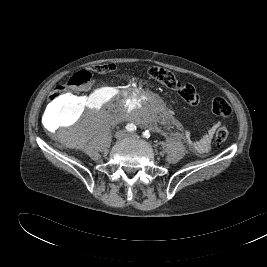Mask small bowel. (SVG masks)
<instances>
[{"label": "small bowel", "mask_w": 267, "mask_h": 267, "mask_svg": "<svg viewBox=\"0 0 267 267\" xmlns=\"http://www.w3.org/2000/svg\"><path fill=\"white\" fill-rule=\"evenodd\" d=\"M77 104L79 103L78 102L74 103L75 106ZM216 127L217 125L214 124L213 126L210 127L207 133L200 140L191 142L192 147L195 149V151H197L198 153L208 152L211 146L212 138H213Z\"/></svg>", "instance_id": "c3829d8e"}]
</instances>
